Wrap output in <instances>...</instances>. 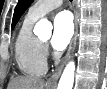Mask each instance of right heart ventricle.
<instances>
[{
  "mask_svg": "<svg viewBox=\"0 0 107 89\" xmlns=\"http://www.w3.org/2000/svg\"><path fill=\"white\" fill-rule=\"evenodd\" d=\"M38 18L27 14L16 37L14 51L19 70L33 77H40L46 72V57L41 40L33 33V26Z\"/></svg>",
  "mask_w": 107,
  "mask_h": 89,
  "instance_id": "obj_1",
  "label": "right heart ventricle"
}]
</instances>
